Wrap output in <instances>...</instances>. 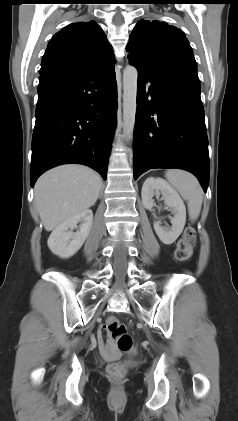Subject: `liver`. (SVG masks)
Instances as JSON below:
<instances>
[{
    "mask_svg": "<svg viewBox=\"0 0 238 421\" xmlns=\"http://www.w3.org/2000/svg\"><path fill=\"white\" fill-rule=\"evenodd\" d=\"M100 176L82 165H63L45 172L35 184V204L46 231L95 204Z\"/></svg>",
    "mask_w": 238,
    "mask_h": 421,
    "instance_id": "obj_1",
    "label": "liver"
}]
</instances>
